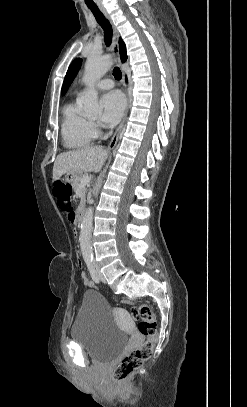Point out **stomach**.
Listing matches in <instances>:
<instances>
[{
    "instance_id": "stomach-1",
    "label": "stomach",
    "mask_w": 247,
    "mask_h": 407,
    "mask_svg": "<svg viewBox=\"0 0 247 407\" xmlns=\"http://www.w3.org/2000/svg\"><path fill=\"white\" fill-rule=\"evenodd\" d=\"M76 176H78V175L68 173L65 177V181L72 183Z\"/></svg>"
}]
</instances>
